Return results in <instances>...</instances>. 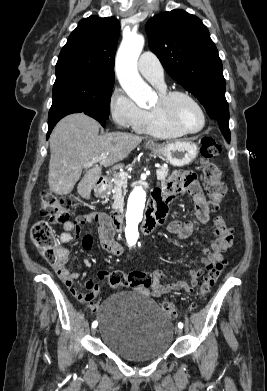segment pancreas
Segmentation results:
<instances>
[{"instance_id":"pancreas-1","label":"pancreas","mask_w":267,"mask_h":391,"mask_svg":"<svg viewBox=\"0 0 267 391\" xmlns=\"http://www.w3.org/2000/svg\"><path fill=\"white\" fill-rule=\"evenodd\" d=\"M169 172L168 167H160L157 170V178L158 180H165ZM109 190L112 191L113 194V200L115 203L113 204V208H117V202L123 199L124 195L127 192V179L126 178H121V177H115L114 181L110 182L109 185Z\"/></svg>"}]
</instances>
